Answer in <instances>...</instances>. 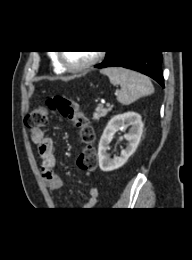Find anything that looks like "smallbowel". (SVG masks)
I'll return each mask as SVG.
<instances>
[{
	"instance_id": "obj_1",
	"label": "small bowel",
	"mask_w": 192,
	"mask_h": 260,
	"mask_svg": "<svg viewBox=\"0 0 192 260\" xmlns=\"http://www.w3.org/2000/svg\"><path fill=\"white\" fill-rule=\"evenodd\" d=\"M31 140L37 147L43 182L51 191L60 189L63 186V181L54 171L56 157L54 153L53 140L42 130L33 133L31 135ZM85 175H88V172H86ZM98 195V189L96 187H92L89 191L88 199L83 205V209H92L97 203Z\"/></svg>"
}]
</instances>
